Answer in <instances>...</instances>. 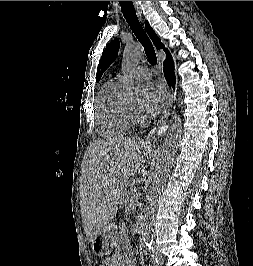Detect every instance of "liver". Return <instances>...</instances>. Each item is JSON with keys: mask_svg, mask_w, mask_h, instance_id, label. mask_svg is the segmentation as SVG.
I'll list each match as a JSON object with an SVG mask.
<instances>
[{"mask_svg": "<svg viewBox=\"0 0 253 266\" xmlns=\"http://www.w3.org/2000/svg\"><path fill=\"white\" fill-rule=\"evenodd\" d=\"M153 145L135 137L96 140L84 154L80 205L89 242L102 232L117 213L125 185L144 169Z\"/></svg>", "mask_w": 253, "mask_h": 266, "instance_id": "liver-1", "label": "liver"}]
</instances>
